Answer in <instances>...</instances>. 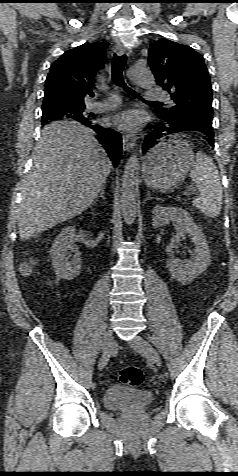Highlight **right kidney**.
<instances>
[{
  "label": "right kidney",
  "instance_id": "right-kidney-1",
  "mask_svg": "<svg viewBox=\"0 0 238 476\" xmlns=\"http://www.w3.org/2000/svg\"><path fill=\"white\" fill-rule=\"evenodd\" d=\"M75 243V227H65L55 238L50 253L52 265L56 273L67 280L77 277L81 270L82 261L75 255L72 261L68 260V253H77L78 247Z\"/></svg>",
  "mask_w": 238,
  "mask_h": 476
}]
</instances>
